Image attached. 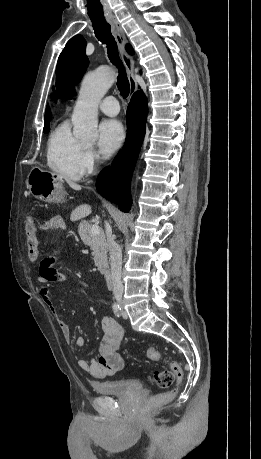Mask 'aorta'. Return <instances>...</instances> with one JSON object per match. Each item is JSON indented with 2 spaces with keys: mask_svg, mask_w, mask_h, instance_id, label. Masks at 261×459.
Masks as SVG:
<instances>
[{
  "mask_svg": "<svg viewBox=\"0 0 261 459\" xmlns=\"http://www.w3.org/2000/svg\"><path fill=\"white\" fill-rule=\"evenodd\" d=\"M116 75L110 68H100L85 76L73 115V135L86 141H95L98 137V105Z\"/></svg>",
  "mask_w": 261,
  "mask_h": 459,
  "instance_id": "1",
  "label": "aorta"
}]
</instances>
